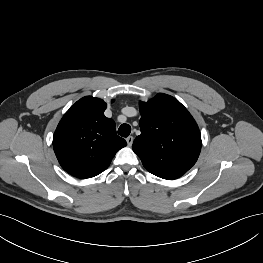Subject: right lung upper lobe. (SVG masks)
<instances>
[{"label":"right lung upper lobe","mask_w":263,"mask_h":263,"mask_svg":"<svg viewBox=\"0 0 263 263\" xmlns=\"http://www.w3.org/2000/svg\"><path fill=\"white\" fill-rule=\"evenodd\" d=\"M106 103L87 96L77 101L59 122L53 148L61 167L78 178L94 177L108 168L116 152L127 145L116 134L115 122L104 116Z\"/></svg>","instance_id":"cb5924a9"}]
</instances>
